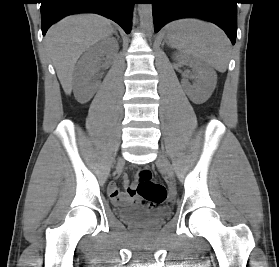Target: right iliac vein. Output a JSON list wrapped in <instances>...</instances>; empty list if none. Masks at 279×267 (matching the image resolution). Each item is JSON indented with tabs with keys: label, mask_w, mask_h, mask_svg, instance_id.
<instances>
[{
	"label": "right iliac vein",
	"mask_w": 279,
	"mask_h": 267,
	"mask_svg": "<svg viewBox=\"0 0 279 267\" xmlns=\"http://www.w3.org/2000/svg\"><path fill=\"white\" fill-rule=\"evenodd\" d=\"M122 163V160L119 161V165Z\"/></svg>",
	"instance_id": "1"
}]
</instances>
